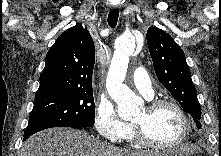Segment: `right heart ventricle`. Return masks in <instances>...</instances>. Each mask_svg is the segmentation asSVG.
Masks as SVG:
<instances>
[{
	"label": "right heart ventricle",
	"mask_w": 221,
	"mask_h": 156,
	"mask_svg": "<svg viewBox=\"0 0 221 156\" xmlns=\"http://www.w3.org/2000/svg\"><path fill=\"white\" fill-rule=\"evenodd\" d=\"M127 137L130 138V139L133 137V129H132L131 126H130V131H129V134H128Z\"/></svg>",
	"instance_id": "obj_1"
}]
</instances>
